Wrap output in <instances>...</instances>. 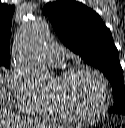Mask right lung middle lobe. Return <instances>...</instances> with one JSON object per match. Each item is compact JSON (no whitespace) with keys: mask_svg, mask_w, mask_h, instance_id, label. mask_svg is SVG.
Wrapping results in <instances>:
<instances>
[{"mask_svg":"<svg viewBox=\"0 0 125 128\" xmlns=\"http://www.w3.org/2000/svg\"><path fill=\"white\" fill-rule=\"evenodd\" d=\"M0 67H10V60L9 59H0Z\"/></svg>","mask_w":125,"mask_h":128,"instance_id":"1","label":"right lung middle lobe"}]
</instances>
